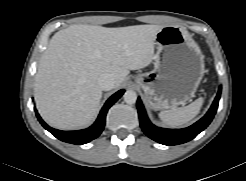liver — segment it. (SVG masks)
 <instances>
[{"label":"liver","mask_w":246,"mask_h":181,"mask_svg":"<svg viewBox=\"0 0 246 181\" xmlns=\"http://www.w3.org/2000/svg\"><path fill=\"white\" fill-rule=\"evenodd\" d=\"M162 28L80 24L55 33L35 75L34 96L42 118L62 130L87 126L102 98L100 75L112 74L116 88L130 70L148 66L155 57L156 34Z\"/></svg>","instance_id":"obj_1"}]
</instances>
